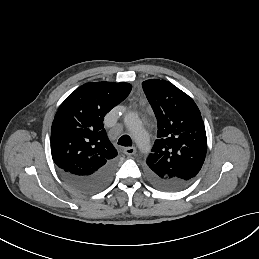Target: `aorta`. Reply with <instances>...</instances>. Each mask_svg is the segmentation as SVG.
Returning <instances> with one entry per match:
<instances>
[{"mask_svg":"<svg viewBox=\"0 0 259 259\" xmlns=\"http://www.w3.org/2000/svg\"><path fill=\"white\" fill-rule=\"evenodd\" d=\"M127 127L131 130L132 135L135 139L136 144L143 151L149 149V140L145 137V133L142 128L138 125V118L135 115H129L125 119Z\"/></svg>","mask_w":259,"mask_h":259,"instance_id":"762f6f07","label":"aorta"}]
</instances>
